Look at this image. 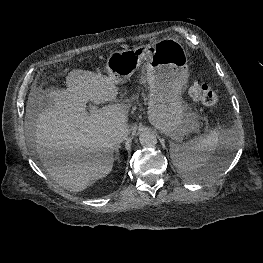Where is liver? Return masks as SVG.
I'll return each mask as SVG.
<instances>
[{"label": "liver", "instance_id": "obj_1", "mask_svg": "<svg viewBox=\"0 0 263 263\" xmlns=\"http://www.w3.org/2000/svg\"><path fill=\"white\" fill-rule=\"evenodd\" d=\"M66 84L68 89L46 92L52 105L40 109L36 118L31 110L35 99L29 98L25 127L34 130L36 151L51 179L77 193L112 171L115 150L110 132L127 128L128 112L121 104L86 112L88 101L103 104L116 99L118 88L109 76L73 69Z\"/></svg>", "mask_w": 263, "mask_h": 263}]
</instances>
